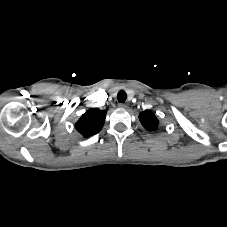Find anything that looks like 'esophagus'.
I'll use <instances>...</instances> for the list:
<instances>
[{"label":"esophagus","mask_w":227,"mask_h":227,"mask_svg":"<svg viewBox=\"0 0 227 227\" xmlns=\"http://www.w3.org/2000/svg\"><path fill=\"white\" fill-rule=\"evenodd\" d=\"M119 107H121V108H127V105L124 104V103H120V104H119Z\"/></svg>","instance_id":"obj_1"}]
</instances>
